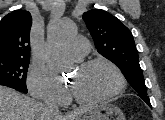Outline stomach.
<instances>
[{"mask_svg":"<svg viewBox=\"0 0 165 120\" xmlns=\"http://www.w3.org/2000/svg\"><path fill=\"white\" fill-rule=\"evenodd\" d=\"M76 120H125L123 112L110 103H101L85 109Z\"/></svg>","mask_w":165,"mask_h":120,"instance_id":"0dacf381","label":"stomach"}]
</instances>
